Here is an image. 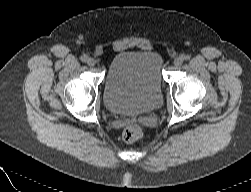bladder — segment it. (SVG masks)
Instances as JSON below:
<instances>
[{"label":"bladder","mask_w":251,"mask_h":192,"mask_svg":"<svg viewBox=\"0 0 251 192\" xmlns=\"http://www.w3.org/2000/svg\"><path fill=\"white\" fill-rule=\"evenodd\" d=\"M161 55L155 51H122L111 61L103 100L115 114L138 115L156 109L162 99Z\"/></svg>","instance_id":"obj_1"}]
</instances>
